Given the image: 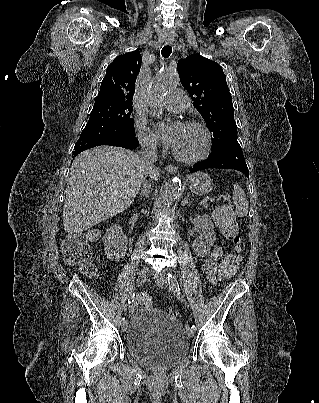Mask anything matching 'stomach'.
<instances>
[{"mask_svg": "<svg viewBox=\"0 0 319 403\" xmlns=\"http://www.w3.org/2000/svg\"><path fill=\"white\" fill-rule=\"evenodd\" d=\"M189 189L197 195L208 194L213 189L210 176L204 172H197L187 177Z\"/></svg>", "mask_w": 319, "mask_h": 403, "instance_id": "0dacf381", "label": "stomach"}]
</instances>
